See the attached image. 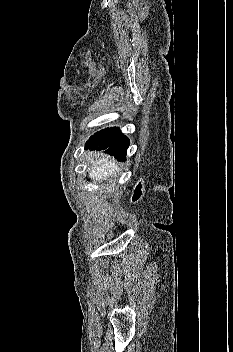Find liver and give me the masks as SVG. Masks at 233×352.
Masks as SVG:
<instances>
[{
  "label": "liver",
  "mask_w": 233,
  "mask_h": 352,
  "mask_svg": "<svg viewBox=\"0 0 233 352\" xmlns=\"http://www.w3.org/2000/svg\"><path fill=\"white\" fill-rule=\"evenodd\" d=\"M92 160L89 168V177L95 181H106L109 177L118 171L115 161L108 156H100L97 153H91Z\"/></svg>",
  "instance_id": "liver-1"
}]
</instances>
